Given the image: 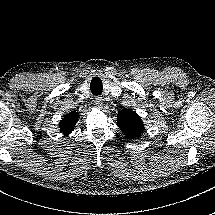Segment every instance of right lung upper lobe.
Here are the masks:
<instances>
[{"mask_svg": "<svg viewBox=\"0 0 215 215\" xmlns=\"http://www.w3.org/2000/svg\"><path fill=\"white\" fill-rule=\"evenodd\" d=\"M78 118L79 115L76 112L65 115L59 123L60 132L66 136L69 135L73 131Z\"/></svg>", "mask_w": 215, "mask_h": 215, "instance_id": "cb5924a9", "label": "right lung upper lobe"}]
</instances>
